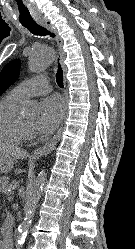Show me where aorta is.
Here are the masks:
<instances>
[{"label": "aorta", "instance_id": "aorta-1", "mask_svg": "<svg viewBox=\"0 0 135 249\" xmlns=\"http://www.w3.org/2000/svg\"><path fill=\"white\" fill-rule=\"evenodd\" d=\"M54 60V50L48 46H37L32 50L29 57V69L33 73H41L49 67ZM46 173L42 170L27 191L29 207L25 211V217L21 222L16 236L15 249H22L27 236L29 226L34 217L37 204L41 197L45 184Z\"/></svg>", "mask_w": 135, "mask_h": 249}]
</instances>
